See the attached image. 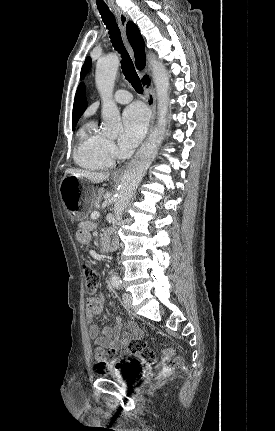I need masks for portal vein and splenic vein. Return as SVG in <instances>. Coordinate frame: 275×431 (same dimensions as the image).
<instances>
[{"mask_svg":"<svg viewBox=\"0 0 275 431\" xmlns=\"http://www.w3.org/2000/svg\"><path fill=\"white\" fill-rule=\"evenodd\" d=\"M100 216V213L97 211H94L91 213V219H97Z\"/></svg>","mask_w":275,"mask_h":431,"instance_id":"18ae733b","label":"portal vein and splenic vein"}]
</instances>
